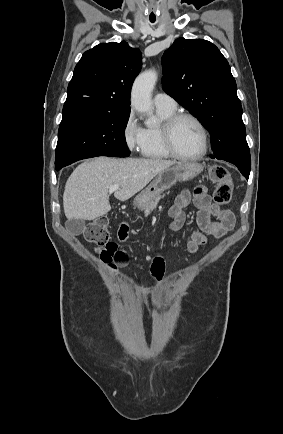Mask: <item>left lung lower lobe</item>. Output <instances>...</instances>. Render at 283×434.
I'll list each match as a JSON object with an SVG mask.
<instances>
[{
    "label": "left lung lower lobe",
    "mask_w": 283,
    "mask_h": 434,
    "mask_svg": "<svg viewBox=\"0 0 283 434\" xmlns=\"http://www.w3.org/2000/svg\"><path fill=\"white\" fill-rule=\"evenodd\" d=\"M250 165H251V163L250 164H236V166L239 168L242 175L245 176L247 180H248L249 174H250V169H251Z\"/></svg>",
    "instance_id": "obj_1"
}]
</instances>
